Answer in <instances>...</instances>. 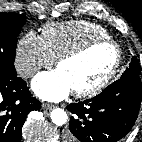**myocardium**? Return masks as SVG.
<instances>
[{
  "label": "myocardium",
  "mask_w": 142,
  "mask_h": 142,
  "mask_svg": "<svg viewBox=\"0 0 142 142\" xmlns=\"http://www.w3.org/2000/svg\"><path fill=\"white\" fill-rule=\"evenodd\" d=\"M102 45H109L114 49L115 60L113 62V65L110 68V70L107 72V74L100 81H98L96 84H94L88 88H85V89L74 90L73 92L77 97L95 96L110 84V82L114 79L115 75L117 74L119 67L121 65L122 51H121L120 46L118 45L117 42H115L112 39L96 38V39L90 40V41L70 50V51L63 53L62 55H60L56 59V67L58 68L60 66V64H62L63 62L77 59V58L85 55L86 53H88L89 51L94 49L95 47L102 46Z\"/></svg>",
  "instance_id": "obj_1"
}]
</instances>
